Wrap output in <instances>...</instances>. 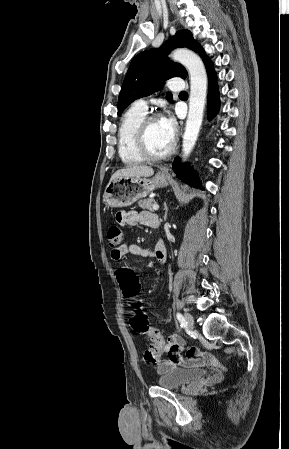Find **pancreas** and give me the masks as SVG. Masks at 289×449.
Segmentation results:
<instances>
[{
  "mask_svg": "<svg viewBox=\"0 0 289 449\" xmlns=\"http://www.w3.org/2000/svg\"><path fill=\"white\" fill-rule=\"evenodd\" d=\"M155 204H156V201L154 199H151V198L145 199V200H140L138 202V205H139L140 208L148 209V210H151V211L153 210V205H155Z\"/></svg>",
  "mask_w": 289,
  "mask_h": 449,
  "instance_id": "cf45deb5",
  "label": "pancreas"
}]
</instances>
